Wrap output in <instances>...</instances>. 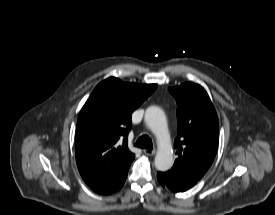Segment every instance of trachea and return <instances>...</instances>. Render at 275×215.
Returning <instances> with one entry per match:
<instances>
[{
	"instance_id": "trachea-1",
	"label": "trachea",
	"mask_w": 275,
	"mask_h": 215,
	"mask_svg": "<svg viewBox=\"0 0 275 215\" xmlns=\"http://www.w3.org/2000/svg\"><path fill=\"white\" fill-rule=\"evenodd\" d=\"M135 146L140 148H146V149L153 148L152 140L147 135H142L141 137H139L135 143Z\"/></svg>"
}]
</instances>
